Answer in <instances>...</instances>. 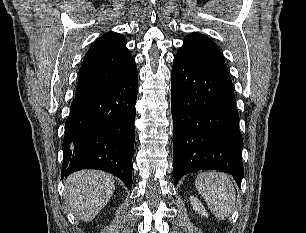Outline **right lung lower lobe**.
<instances>
[{"instance_id": "obj_1", "label": "right lung lower lobe", "mask_w": 306, "mask_h": 233, "mask_svg": "<svg viewBox=\"0 0 306 233\" xmlns=\"http://www.w3.org/2000/svg\"><path fill=\"white\" fill-rule=\"evenodd\" d=\"M136 66L117 83L75 96L65 122L61 178L81 169H97L119 177L131 188Z\"/></svg>"}]
</instances>
